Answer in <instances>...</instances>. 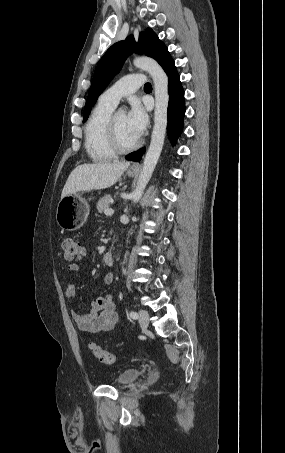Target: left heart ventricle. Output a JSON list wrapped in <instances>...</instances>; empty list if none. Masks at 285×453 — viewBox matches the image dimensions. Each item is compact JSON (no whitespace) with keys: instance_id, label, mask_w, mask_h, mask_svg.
<instances>
[{"instance_id":"obj_1","label":"left heart ventricle","mask_w":285,"mask_h":453,"mask_svg":"<svg viewBox=\"0 0 285 453\" xmlns=\"http://www.w3.org/2000/svg\"><path fill=\"white\" fill-rule=\"evenodd\" d=\"M116 125L119 139L123 145L125 146L132 145L139 139L130 129L127 123L126 114L124 112L117 113Z\"/></svg>"}]
</instances>
